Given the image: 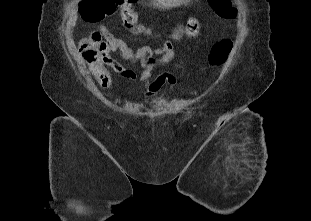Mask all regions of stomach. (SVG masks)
I'll use <instances>...</instances> for the list:
<instances>
[{
    "mask_svg": "<svg viewBox=\"0 0 311 221\" xmlns=\"http://www.w3.org/2000/svg\"><path fill=\"white\" fill-rule=\"evenodd\" d=\"M156 6H165V8H170V6H179L184 0H152Z\"/></svg>",
    "mask_w": 311,
    "mask_h": 221,
    "instance_id": "obj_1",
    "label": "stomach"
}]
</instances>
